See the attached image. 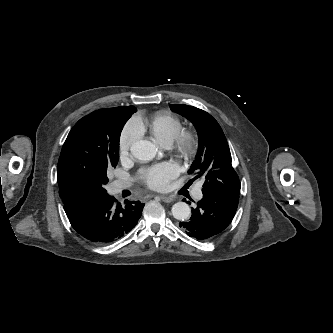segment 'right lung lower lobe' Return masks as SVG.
I'll return each mask as SVG.
<instances>
[{"label": "right lung lower lobe", "instance_id": "right-lung-lower-lobe-1", "mask_svg": "<svg viewBox=\"0 0 333 333\" xmlns=\"http://www.w3.org/2000/svg\"><path fill=\"white\" fill-rule=\"evenodd\" d=\"M139 201L116 203L113 196L91 198L64 205L74 230L86 240L108 244L128 234L141 217Z\"/></svg>", "mask_w": 333, "mask_h": 333}]
</instances>
